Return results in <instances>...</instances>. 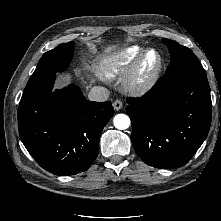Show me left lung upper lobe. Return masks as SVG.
Returning a JSON list of instances; mask_svg holds the SVG:
<instances>
[{"label": "left lung upper lobe", "mask_w": 221, "mask_h": 221, "mask_svg": "<svg viewBox=\"0 0 221 221\" xmlns=\"http://www.w3.org/2000/svg\"><path fill=\"white\" fill-rule=\"evenodd\" d=\"M162 41L168 47L171 54V62L166 73L172 72L186 63L199 62L195 54L189 48L172 40L163 39Z\"/></svg>", "instance_id": "left-lung-upper-lobe-1"}]
</instances>
